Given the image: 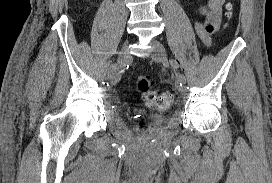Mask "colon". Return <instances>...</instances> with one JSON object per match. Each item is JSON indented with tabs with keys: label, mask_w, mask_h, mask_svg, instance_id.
Segmentation results:
<instances>
[{
	"label": "colon",
	"mask_w": 272,
	"mask_h": 183,
	"mask_svg": "<svg viewBox=\"0 0 272 183\" xmlns=\"http://www.w3.org/2000/svg\"><path fill=\"white\" fill-rule=\"evenodd\" d=\"M227 10L228 17H232L233 4L229 3L227 5ZM153 86L154 80L150 75L143 74L138 76L136 80V87L142 93L145 103L150 107H157L159 109L169 107L173 102V95L168 92L157 94L155 91H153Z\"/></svg>",
	"instance_id": "obj_1"
}]
</instances>
